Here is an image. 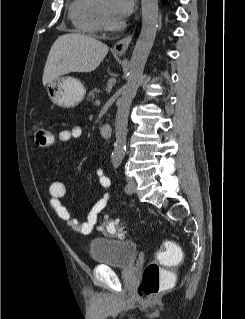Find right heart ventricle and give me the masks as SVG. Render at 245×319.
I'll return each instance as SVG.
<instances>
[{
	"instance_id": "obj_1",
	"label": "right heart ventricle",
	"mask_w": 245,
	"mask_h": 319,
	"mask_svg": "<svg viewBox=\"0 0 245 319\" xmlns=\"http://www.w3.org/2000/svg\"><path fill=\"white\" fill-rule=\"evenodd\" d=\"M101 0H72L69 5V17L82 33L96 35L103 29L100 17Z\"/></svg>"
}]
</instances>
